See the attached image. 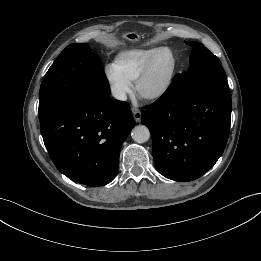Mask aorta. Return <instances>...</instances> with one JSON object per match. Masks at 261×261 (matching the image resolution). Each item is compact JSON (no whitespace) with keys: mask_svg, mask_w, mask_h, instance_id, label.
<instances>
[{"mask_svg":"<svg viewBox=\"0 0 261 261\" xmlns=\"http://www.w3.org/2000/svg\"><path fill=\"white\" fill-rule=\"evenodd\" d=\"M133 140L137 143H145L150 138V131L144 125L135 126L131 132Z\"/></svg>","mask_w":261,"mask_h":261,"instance_id":"1","label":"aorta"}]
</instances>
